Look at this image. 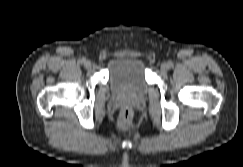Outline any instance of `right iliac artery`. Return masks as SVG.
<instances>
[{
	"instance_id": "82829eb1",
	"label": "right iliac artery",
	"mask_w": 243,
	"mask_h": 167,
	"mask_svg": "<svg viewBox=\"0 0 243 167\" xmlns=\"http://www.w3.org/2000/svg\"><path fill=\"white\" fill-rule=\"evenodd\" d=\"M85 62V58H82L81 60H79V63H83Z\"/></svg>"
}]
</instances>
